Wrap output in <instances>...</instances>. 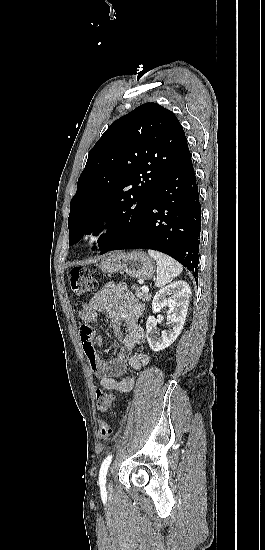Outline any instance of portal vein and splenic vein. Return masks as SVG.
<instances>
[{"label": "portal vein and splenic vein", "mask_w": 265, "mask_h": 550, "mask_svg": "<svg viewBox=\"0 0 265 550\" xmlns=\"http://www.w3.org/2000/svg\"><path fill=\"white\" fill-rule=\"evenodd\" d=\"M142 290H143V292H145V293H148V292H149V288H148L147 286H145V285L142 286Z\"/></svg>", "instance_id": "portal-vein-and-splenic-vein-1"}]
</instances>
